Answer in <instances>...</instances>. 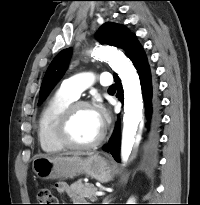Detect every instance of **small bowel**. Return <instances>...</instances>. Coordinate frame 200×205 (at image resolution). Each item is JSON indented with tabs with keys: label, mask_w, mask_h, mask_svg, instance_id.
<instances>
[{
	"label": "small bowel",
	"mask_w": 200,
	"mask_h": 205,
	"mask_svg": "<svg viewBox=\"0 0 200 205\" xmlns=\"http://www.w3.org/2000/svg\"><path fill=\"white\" fill-rule=\"evenodd\" d=\"M57 191L60 194L70 195V188H69V185L66 183L57 184Z\"/></svg>",
	"instance_id": "1"
}]
</instances>
